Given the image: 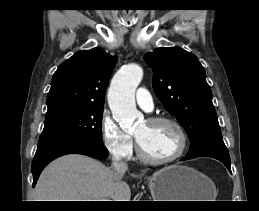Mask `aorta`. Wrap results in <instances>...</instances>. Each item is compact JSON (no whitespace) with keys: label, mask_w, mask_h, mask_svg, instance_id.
Listing matches in <instances>:
<instances>
[{"label":"aorta","mask_w":259,"mask_h":211,"mask_svg":"<svg viewBox=\"0 0 259 211\" xmlns=\"http://www.w3.org/2000/svg\"><path fill=\"white\" fill-rule=\"evenodd\" d=\"M142 77L143 69L137 64H129L120 69L111 81L109 107L124 131L132 130L142 117L135 104V90Z\"/></svg>","instance_id":"762f6f07"}]
</instances>
